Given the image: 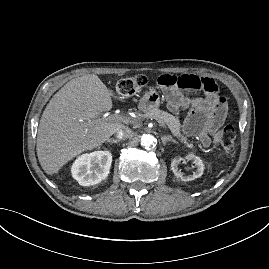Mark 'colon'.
I'll list each match as a JSON object with an SVG mask.
<instances>
[{
    "label": "colon",
    "instance_id": "5ec220e1",
    "mask_svg": "<svg viewBox=\"0 0 269 269\" xmlns=\"http://www.w3.org/2000/svg\"><path fill=\"white\" fill-rule=\"evenodd\" d=\"M147 83L144 75L124 78L117 84L119 94L123 96H132L139 93ZM236 132L231 125L218 128L213 134L214 145L226 151H232L235 146Z\"/></svg>",
    "mask_w": 269,
    "mask_h": 269
}]
</instances>
